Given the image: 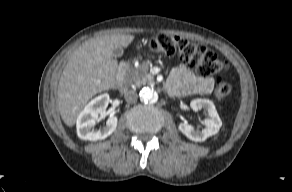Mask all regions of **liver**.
Returning <instances> with one entry per match:
<instances>
[{"label": "liver", "instance_id": "liver-1", "mask_svg": "<svg viewBox=\"0 0 292 192\" xmlns=\"http://www.w3.org/2000/svg\"><path fill=\"white\" fill-rule=\"evenodd\" d=\"M134 35H111L84 42L69 57L58 84V108L64 123L72 127L86 103L97 93L116 85L118 62L112 50L127 47Z\"/></svg>", "mask_w": 292, "mask_h": 192}]
</instances>
